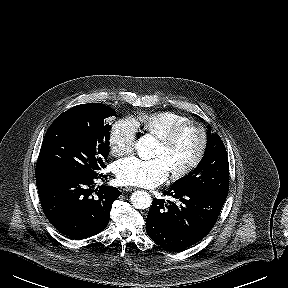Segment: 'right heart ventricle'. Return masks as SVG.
Here are the masks:
<instances>
[{"label": "right heart ventricle", "mask_w": 288, "mask_h": 288, "mask_svg": "<svg viewBox=\"0 0 288 288\" xmlns=\"http://www.w3.org/2000/svg\"><path fill=\"white\" fill-rule=\"evenodd\" d=\"M188 120L185 115L173 111H161L142 114L133 119L137 128L156 138L163 135L173 126Z\"/></svg>", "instance_id": "obj_1"}]
</instances>
